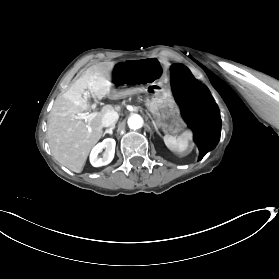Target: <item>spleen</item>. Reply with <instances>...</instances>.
Masks as SVG:
<instances>
[{"mask_svg": "<svg viewBox=\"0 0 279 279\" xmlns=\"http://www.w3.org/2000/svg\"><path fill=\"white\" fill-rule=\"evenodd\" d=\"M165 145L173 152H183L188 149V142L191 139V134L188 131L181 133L179 136L174 137L171 135L164 136Z\"/></svg>", "mask_w": 279, "mask_h": 279, "instance_id": "3e777b00", "label": "spleen"}]
</instances>
